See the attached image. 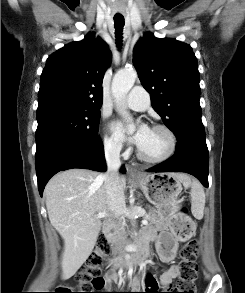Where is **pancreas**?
<instances>
[{"instance_id": "pancreas-1", "label": "pancreas", "mask_w": 245, "mask_h": 293, "mask_svg": "<svg viewBox=\"0 0 245 293\" xmlns=\"http://www.w3.org/2000/svg\"><path fill=\"white\" fill-rule=\"evenodd\" d=\"M145 219L149 222L146 226L148 229L159 231L166 227V223L161 220L157 214V211L150 209ZM111 243L112 252L114 254H123V247L127 243V231L124 223H118L114 226L113 232L107 237Z\"/></svg>"}]
</instances>
